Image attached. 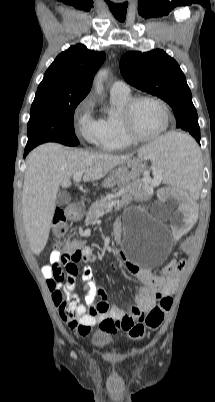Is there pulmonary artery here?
Masks as SVG:
<instances>
[{"mask_svg": "<svg viewBox=\"0 0 215 402\" xmlns=\"http://www.w3.org/2000/svg\"><path fill=\"white\" fill-rule=\"evenodd\" d=\"M111 93L127 94L130 93L129 86L123 81H115L110 88Z\"/></svg>", "mask_w": 215, "mask_h": 402, "instance_id": "obj_1", "label": "pulmonary artery"}]
</instances>
